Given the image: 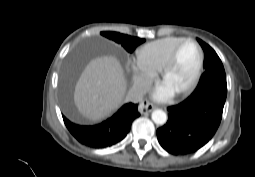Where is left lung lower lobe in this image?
I'll return each mask as SVG.
<instances>
[{"instance_id": "obj_1", "label": "left lung lower lobe", "mask_w": 255, "mask_h": 177, "mask_svg": "<svg viewBox=\"0 0 255 177\" xmlns=\"http://www.w3.org/2000/svg\"><path fill=\"white\" fill-rule=\"evenodd\" d=\"M227 93L217 89L193 92L168 107L167 123L157 129L160 145L170 154L187 155L203 147L216 133Z\"/></svg>"}]
</instances>
